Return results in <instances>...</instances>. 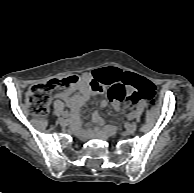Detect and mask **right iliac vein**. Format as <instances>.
<instances>
[{
  "mask_svg": "<svg viewBox=\"0 0 194 193\" xmlns=\"http://www.w3.org/2000/svg\"><path fill=\"white\" fill-rule=\"evenodd\" d=\"M59 124H60L62 127H66V126H68V124H69V120L59 119Z\"/></svg>",
  "mask_w": 194,
  "mask_h": 193,
  "instance_id": "right-iliac-vein-1",
  "label": "right iliac vein"
}]
</instances>
